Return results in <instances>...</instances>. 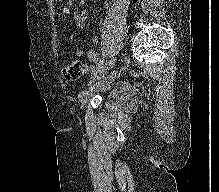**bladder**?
<instances>
[{
	"mask_svg": "<svg viewBox=\"0 0 219 192\" xmlns=\"http://www.w3.org/2000/svg\"><path fill=\"white\" fill-rule=\"evenodd\" d=\"M103 102L120 111L128 112L134 109L138 102L133 85L121 79L115 80L102 95Z\"/></svg>",
	"mask_w": 219,
	"mask_h": 192,
	"instance_id": "31cf9c89",
	"label": "bladder"
}]
</instances>
